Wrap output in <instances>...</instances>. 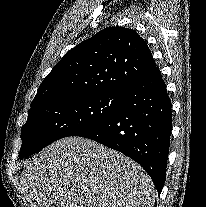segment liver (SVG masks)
<instances>
[{
    "label": "liver",
    "instance_id": "obj_1",
    "mask_svg": "<svg viewBox=\"0 0 206 207\" xmlns=\"http://www.w3.org/2000/svg\"><path fill=\"white\" fill-rule=\"evenodd\" d=\"M20 185L31 207H152L155 200V186L136 162L77 136L29 159Z\"/></svg>",
    "mask_w": 206,
    "mask_h": 207
}]
</instances>
